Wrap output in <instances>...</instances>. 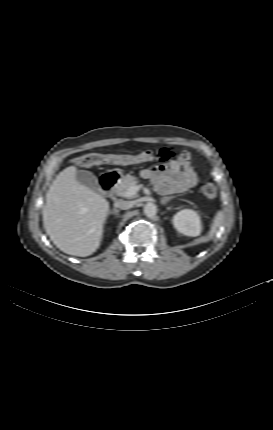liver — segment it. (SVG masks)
Returning <instances> with one entry per match:
<instances>
[{"label": "liver", "mask_w": 273, "mask_h": 430, "mask_svg": "<svg viewBox=\"0 0 273 430\" xmlns=\"http://www.w3.org/2000/svg\"><path fill=\"white\" fill-rule=\"evenodd\" d=\"M77 168L60 172L46 194L43 226L53 243L66 254L86 257L102 239L109 202L76 180Z\"/></svg>", "instance_id": "obj_1"}]
</instances>
